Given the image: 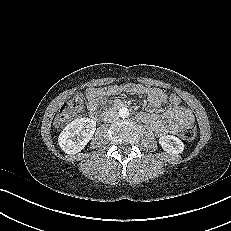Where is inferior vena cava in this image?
<instances>
[{
  "label": "inferior vena cava",
  "mask_w": 231,
  "mask_h": 231,
  "mask_svg": "<svg viewBox=\"0 0 231 231\" xmlns=\"http://www.w3.org/2000/svg\"><path fill=\"white\" fill-rule=\"evenodd\" d=\"M102 119L104 122H114L118 119V113L114 109H108L103 113Z\"/></svg>",
  "instance_id": "obj_1"
}]
</instances>
